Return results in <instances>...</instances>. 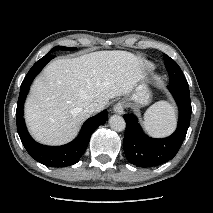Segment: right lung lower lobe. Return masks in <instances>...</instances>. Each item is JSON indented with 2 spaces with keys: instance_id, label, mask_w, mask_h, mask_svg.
<instances>
[{
  "instance_id": "right-lung-lower-lobe-1",
  "label": "right lung lower lobe",
  "mask_w": 213,
  "mask_h": 213,
  "mask_svg": "<svg viewBox=\"0 0 213 213\" xmlns=\"http://www.w3.org/2000/svg\"><path fill=\"white\" fill-rule=\"evenodd\" d=\"M55 56L48 53L38 60L25 76L21 87L16 110L17 131L20 139L32 158L50 167H66L75 164L85 152L93 131L103 125L108 119L107 110L89 118L72 142L63 146H44L34 141L28 134L24 119L23 105L33 79L39 74L43 67Z\"/></svg>"
}]
</instances>
